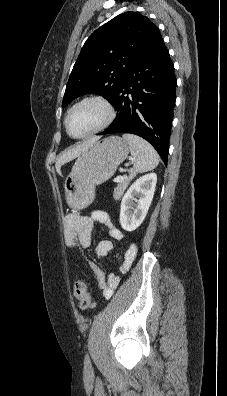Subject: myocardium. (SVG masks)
<instances>
[{"mask_svg":"<svg viewBox=\"0 0 227 396\" xmlns=\"http://www.w3.org/2000/svg\"><path fill=\"white\" fill-rule=\"evenodd\" d=\"M91 102L100 104L104 108V110L106 112V116H105L104 120L97 127H95L93 130H91L88 133L81 135V136H74L69 130V126H68L69 117H70L71 113L76 108H78L79 106H81L83 104L91 103ZM115 118H116V110L109 99H107L105 96L100 95V94H90V95H86V96L80 98L79 100H77L75 103H73L70 106V108L67 110L65 118H64V126H65L67 134L71 138L85 139V138L93 136V135L105 130L106 128H108L113 123Z\"/></svg>","mask_w":227,"mask_h":396,"instance_id":"obj_1","label":"myocardium"}]
</instances>
